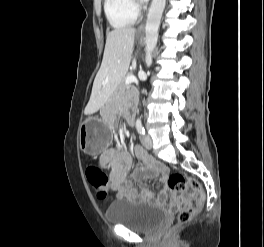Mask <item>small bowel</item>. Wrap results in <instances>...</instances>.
I'll return each mask as SVG.
<instances>
[{
	"label": "small bowel",
	"instance_id": "obj_1",
	"mask_svg": "<svg viewBox=\"0 0 264 247\" xmlns=\"http://www.w3.org/2000/svg\"><path fill=\"white\" fill-rule=\"evenodd\" d=\"M134 152L142 161V166L133 173V179L143 180L147 178H158L165 185L162 193L155 197L154 193L146 186H140L137 191L132 184V180L127 177L128 171L132 167V160L129 153L123 148H111L104 151L100 156V164L109 169L110 189L116 192L122 199H157L165 200L174 198L176 195L167 187V168L151 156L142 146L136 145Z\"/></svg>",
	"mask_w": 264,
	"mask_h": 247
}]
</instances>
